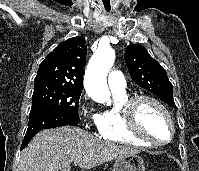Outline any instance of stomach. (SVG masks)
I'll use <instances>...</instances> for the list:
<instances>
[{
	"label": "stomach",
	"instance_id": "1",
	"mask_svg": "<svg viewBox=\"0 0 199 171\" xmlns=\"http://www.w3.org/2000/svg\"><path fill=\"white\" fill-rule=\"evenodd\" d=\"M113 171H145V164L136 154L122 156L115 160Z\"/></svg>",
	"mask_w": 199,
	"mask_h": 171
}]
</instances>
